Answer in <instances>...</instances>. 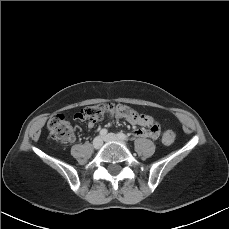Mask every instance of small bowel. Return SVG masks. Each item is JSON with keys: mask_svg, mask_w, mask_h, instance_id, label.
Instances as JSON below:
<instances>
[{"mask_svg": "<svg viewBox=\"0 0 229 229\" xmlns=\"http://www.w3.org/2000/svg\"><path fill=\"white\" fill-rule=\"evenodd\" d=\"M127 120L134 124L139 126L134 131V135L136 137H148L155 139L158 135L157 131L154 129H146L145 127L151 126L153 124V119L151 116L146 115V114H137L135 117H127ZM96 125V122L94 121H88L87 126L89 128H93Z\"/></svg>", "mask_w": 229, "mask_h": 229, "instance_id": "1", "label": "small bowel"}]
</instances>
